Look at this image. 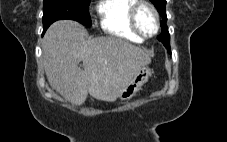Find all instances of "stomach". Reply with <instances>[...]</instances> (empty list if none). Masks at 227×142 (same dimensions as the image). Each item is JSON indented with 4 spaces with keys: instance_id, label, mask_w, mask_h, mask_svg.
<instances>
[{
    "instance_id": "obj_1",
    "label": "stomach",
    "mask_w": 227,
    "mask_h": 142,
    "mask_svg": "<svg viewBox=\"0 0 227 142\" xmlns=\"http://www.w3.org/2000/svg\"><path fill=\"white\" fill-rule=\"evenodd\" d=\"M151 75H152V70L149 69L148 67L143 66L142 68H140L139 71L135 74V76L131 80V82L122 91L119 98L121 100L131 99L141 89V87L148 81Z\"/></svg>"
}]
</instances>
